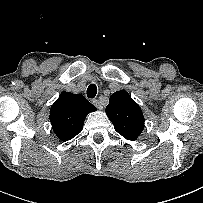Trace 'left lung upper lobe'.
<instances>
[{"label":"left lung upper lobe","instance_id":"obj_1","mask_svg":"<svg viewBox=\"0 0 203 203\" xmlns=\"http://www.w3.org/2000/svg\"><path fill=\"white\" fill-rule=\"evenodd\" d=\"M106 114L114 129L128 140H136L143 131L142 110L125 90L117 91L110 96Z\"/></svg>","mask_w":203,"mask_h":203}]
</instances>
